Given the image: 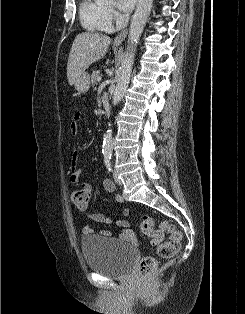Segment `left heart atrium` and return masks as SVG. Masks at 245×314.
I'll list each match as a JSON object with an SVG mask.
<instances>
[{
  "label": "left heart atrium",
  "instance_id": "left-heart-atrium-1",
  "mask_svg": "<svg viewBox=\"0 0 245 314\" xmlns=\"http://www.w3.org/2000/svg\"><path fill=\"white\" fill-rule=\"evenodd\" d=\"M136 0H116L117 8L122 12H130L134 5Z\"/></svg>",
  "mask_w": 245,
  "mask_h": 314
}]
</instances>
